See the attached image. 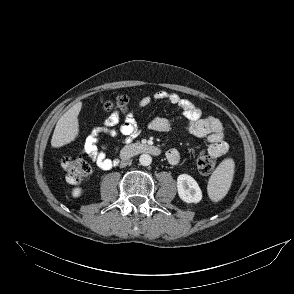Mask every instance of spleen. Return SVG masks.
<instances>
[{
    "label": "spleen",
    "mask_w": 294,
    "mask_h": 294,
    "mask_svg": "<svg viewBox=\"0 0 294 294\" xmlns=\"http://www.w3.org/2000/svg\"><path fill=\"white\" fill-rule=\"evenodd\" d=\"M234 175V161L224 160L212 173L208 182V195L214 202L221 200L228 192Z\"/></svg>",
    "instance_id": "spleen-1"
}]
</instances>
